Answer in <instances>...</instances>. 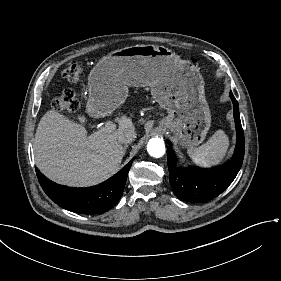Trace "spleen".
Masks as SVG:
<instances>
[{"instance_id":"1","label":"spleen","mask_w":281,"mask_h":281,"mask_svg":"<svg viewBox=\"0 0 281 281\" xmlns=\"http://www.w3.org/2000/svg\"><path fill=\"white\" fill-rule=\"evenodd\" d=\"M229 147V136L223 129H218L204 145L198 148H188L187 154L196 166L209 169L224 161Z\"/></svg>"}]
</instances>
